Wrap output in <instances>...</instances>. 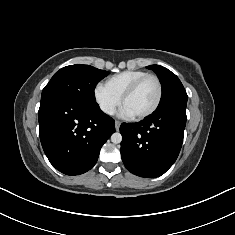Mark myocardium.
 I'll use <instances>...</instances> for the list:
<instances>
[{
	"instance_id": "f54148a6",
	"label": "myocardium",
	"mask_w": 235,
	"mask_h": 235,
	"mask_svg": "<svg viewBox=\"0 0 235 235\" xmlns=\"http://www.w3.org/2000/svg\"><path fill=\"white\" fill-rule=\"evenodd\" d=\"M149 78H152L156 81L157 86H158V96H157L156 102L154 103V105L149 110H147L143 113H140L138 115H133V117L135 119H138V120L144 119V118L152 115L158 109V107H159V105L162 101L163 86H162V83H161V80L159 79V77L154 75V74H146V75L140 77L139 79H137L134 83H132L127 88V90L122 94V96L120 98L121 105H123L125 100L128 97H130L131 95H133L136 92V90L140 87V85Z\"/></svg>"
}]
</instances>
